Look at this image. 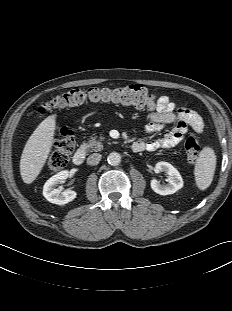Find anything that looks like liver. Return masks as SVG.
<instances>
[{"mask_svg":"<svg viewBox=\"0 0 232 311\" xmlns=\"http://www.w3.org/2000/svg\"><path fill=\"white\" fill-rule=\"evenodd\" d=\"M56 114L45 118L29 137L20 160V174L26 184H31L43 169L53 145Z\"/></svg>","mask_w":232,"mask_h":311,"instance_id":"obj_1","label":"liver"}]
</instances>
